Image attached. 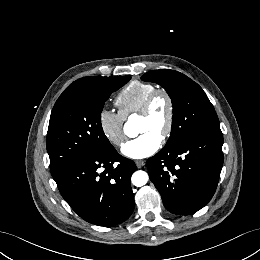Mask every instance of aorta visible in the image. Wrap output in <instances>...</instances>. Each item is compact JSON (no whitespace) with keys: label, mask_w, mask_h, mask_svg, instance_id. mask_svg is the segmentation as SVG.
<instances>
[{"label":"aorta","mask_w":260,"mask_h":260,"mask_svg":"<svg viewBox=\"0 0 260 260\" xmlns=\"http://www.w3.org/2000/svg\"><path fill=\"white\" fill-rule=\"evenodd\" d=\"M124 133L129 137H133L138 134L137 128L131 120H129L124 125ZM148 179H149V176L145 171L138 170L133 173V175L131 177V182L134 186L141 187V186H144L148 182Z\"/></svg>","instance_id":"aorta-1"}]
</instances>
